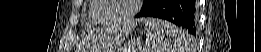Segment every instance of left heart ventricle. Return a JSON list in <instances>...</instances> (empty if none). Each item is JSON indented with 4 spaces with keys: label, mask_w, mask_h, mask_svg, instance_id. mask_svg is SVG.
Instances as JSON below:
<instances>
[{
    "label": "left heart ventricle",
    "mask_w": 261,
    "mask_h": 52,
    "mask_svg": "<svg viewBox=\"0 0 261 52\" xmlns=\"http://www.w3.org/2000/svg\"><path fill=\"white\" fill-rule=\"evenodd\" d=\"M107 4L106 8L101 11L100 18L111 21L124 16L131 7L132 0H104Z\"/></svg>",
    "instance_id": "1"
}]
</instances>
